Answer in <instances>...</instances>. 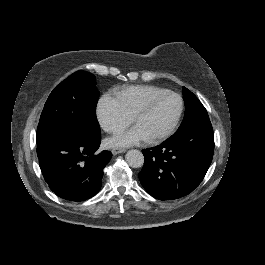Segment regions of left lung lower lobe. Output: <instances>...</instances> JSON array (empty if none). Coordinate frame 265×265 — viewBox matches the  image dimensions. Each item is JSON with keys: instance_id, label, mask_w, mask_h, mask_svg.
<instances>
[{"instance_id": "obj_1", "label": "left lung lower lobe", "mask_w": 265, "mask_h": 265, "mask_svg": "<svg viewBox=\"0 0 265 265\" xmlns=\"http://www.w3.org/2000/svg\"><path fill=\"white\" fill-rule=\"evenodd\" d=\"M139 180L156 199L172 200L192 192L203 180L213 158L211 122L176 132L159 146L144 149Z\"/></svg>"}]
</instances>
